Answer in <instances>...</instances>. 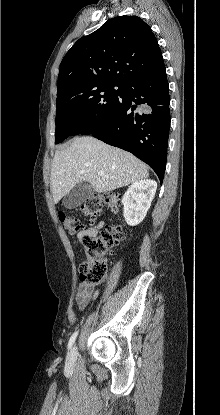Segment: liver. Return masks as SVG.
<instances>
[{
  "mask_svg": "<svg viewBox=\"0 0 220 415\" xmlns=\"http://www.w3.org/2000/svg\"><path fill=\"white\" fill-rule=\"evenodd\" d=\"M99 171L104 176L98 175ZM148 177V167L131 153L94 137H77L66 149L55 152L51 168L53 200L57 204L82 181L90 183L94 191L105 193Z\"/></svg>",
  "mask_w": 220,
  "mask_h": 415,
  "instance_id": "obj_1",
  "label": "liver"
}]
</instances>
